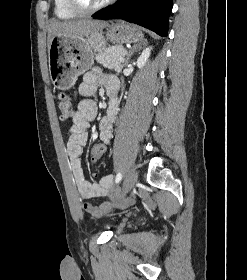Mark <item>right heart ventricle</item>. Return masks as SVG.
<instances>
[{"label":"right heart ventricle","instance_id":"1","mask_svg":"<svg viewBox=\"0 0 247 280\" xmlns=\"http://www.w3.org/2000/svg\"><path fill=\"white\" fill-rule=\"evenodd\" d=\"M54 13L61 20H70L78 15L69 8L67 0H54Z\"/></svg>","mask_w":247,"mask_h":280}]
</instances>
